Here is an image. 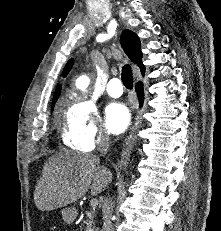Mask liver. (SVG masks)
Here are the masks:
<instances>
[{
	"mask_svg": "<svg viewBox=\"0 0 221 231\" xmlns=\"http://www.w3.org/2000/svg\"><path fill=\"white\" fill-rule=\"evenodd\" d=\"M100 165L98 156L74 151L55 154L45 164L34 192V202L40 211L65 207L84 196L105 190L111 177Z\"/></svg>",
	"mask_w": 221,
	"mask_h": 231,
	"instance_id": "1",
	"label": "liver"
}]
</instances>
